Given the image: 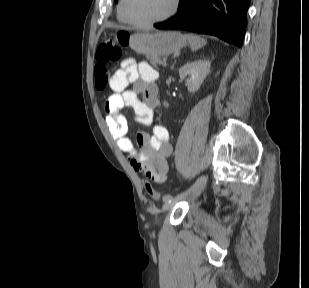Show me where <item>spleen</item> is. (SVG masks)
Masks as SVG:
<instances>
[{
	"instance_id": "spleen-1",
	"label": "spleen",
	"mask_w": 309,
	"mask_h": 288,
	"mask_svg": "<svg viewBox=\"0 0 309 288\" xmlns=\"http://www.w3.org/2000/svg\"><path fill=\"white\" fill-rule=\"evenodd\" d=\"M186 39L189 42L192 51H196L207 44V41L195 34H186Z\"/></svg>"
}]
</instances>
